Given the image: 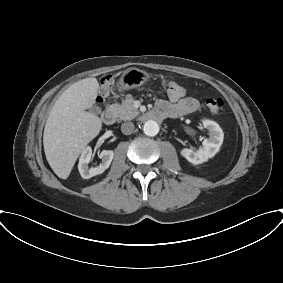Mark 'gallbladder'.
I'll use <instances>...</instances> for the list:
<instances>
[{
	"label": "gallbladder",
	"mask_w": 283,
	"mask_h": 283,
	"mask_svg": "<svg viewBox=\"0 0 283 283\" xmlns=\"http://www.w3.org/2000/svg\"><path fill=\"white\" fill-rule=\"evenodd\" d=\"M90 112H92L94 114H98V113H100V110L97 107H92V108H90Z\"/></svg>",
	"instance_id": "1"
}]
</instances>
